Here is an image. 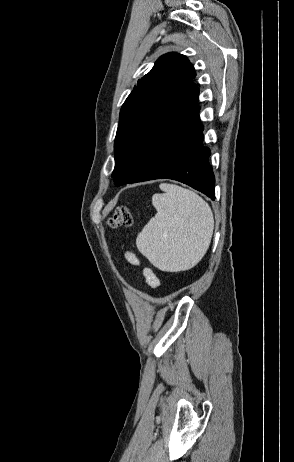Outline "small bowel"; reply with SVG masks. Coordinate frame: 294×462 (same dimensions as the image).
<instances>
[{
	"label": "small bowel",
	"instance_id": "obj_1",
	"mask_svg": "<svg viewBox=\"0 0 294 462\" xmlns=\"http://www.w3.org/2000/svg\"><path fill=\"white\" fill-rule=\"evenodd\" d=\"M127 259L133 263V264H137L138 261L136 259V257L132 254V253H128L127 254ZM143 275H144V278H145V281L146 283L153 289H156L160 286V280L159 278L156 276V274L154 273V271L150 268H145L144 271H143Z\"/></svg>",
	"mask_w": 294,
	"mask_h": 462
}]
</instances>
